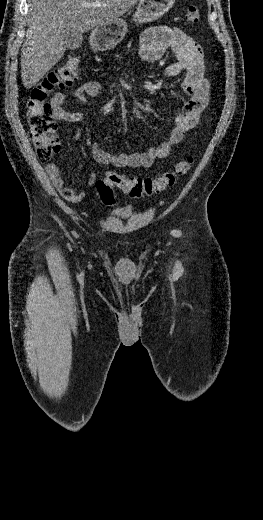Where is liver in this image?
I'll list each match as a JSON object with an SVG mask.
<instances>
[{
	"label": "liver",
	"mask_w": 263,
	"mask_h": 520,
	"mask_svg": "<svg viewBox=\"0 0 263 520\" xmlns=\"http://www.w3.org/2000/svg\"><path fill=\"white\" fill-rule=\"evenodd\" d=\"M140 0H30L28 30L21 49V77L35 86L63 57L70 32L82 34L119 19ZM100 2V7L86 4Z\"/></svg>",
	"instance_id": "1"
}]
</instances>
